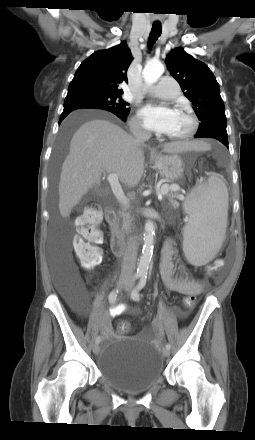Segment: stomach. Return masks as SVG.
Listing matches in <instances>:
<instances>
[{"label": "stomach", "mask_w": 255, "mask_h": 440, "mask_svg": "<svg viewBox=\"0 0 255 440\" xmlns=\"http://www.w3.org/2000/svg\"><path fill=\"white\" fill-rule=\"evenodd\" d=\"M152 161L160 175L166 179L179 180L184 174L183 160L177 154L154 155Z\"/></svg>", "instance_id": "0dacf381"}]
</instances>
